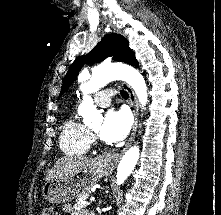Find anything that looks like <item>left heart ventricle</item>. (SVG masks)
Masks as SVG:
<instances>
[{"mask_svg":"<svg viewBox=\"0 0 221 215\" xmlns=\"http://www.w3.org/2000/svg\"><path fill=\"white\" fill-rule=\"evenodd\" d=\"M99 130V128L97 127L96 129H95V131H98Z\"/></svg>","mask_w":221,"mask_h":215,"instance_id":"b2bd125f","label":"left heart ventricle"}]
</instances>
